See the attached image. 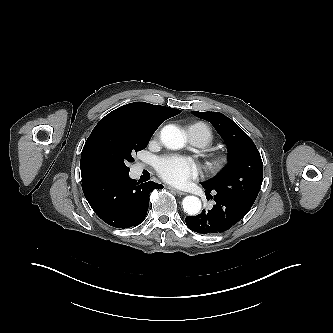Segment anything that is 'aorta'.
I'll return each instance as SVG.
<instances>
[{
    "mask_svg": "<svg viewBox=\"0 0 333 333\" xmlns=\"http://www.w3.org/2000/svg\"><path fill=\"white\" fill-rule=\"evenodd\" d=\"M160 138L164 146L169 149H181L186 143L184 133L175 125L169 124L162 128ZM184 212L194 216L201 210V201L196 196H186L182 201Z\"/></svg>",
    "mask_w": 333,
    "mask_h": 333,
    "instance_id": "aorta-1",
    "label": "aorta"
}]
</instances>
